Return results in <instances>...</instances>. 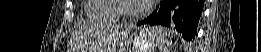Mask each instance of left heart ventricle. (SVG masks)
<instances>
[{
	"label": "left heart ventricle",
	"instance_id": "left-heart-ventricle-1",
	"mask_svg": "<svg viewBox=\"0 0 261 52\" xmlns=\"http://www.w3.org/2000/svg\"><path fill=\"white\" fill-rule=\"evenodd\" d=\"M138 1H123L121 2V12L127 15L134 14L138 9Z\"/></svg>",
	"mask_w": 261,
	"mask_h": 52
}]
</instances>
